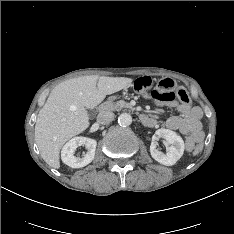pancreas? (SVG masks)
Wrapping results in <instances>:
<instances>
[{
  "mask_svg": "<svg viewBox=\"0 0 234 234\" xmlns=\"http://www.w3.org/2000/svg\"><path fill=\"white\" fill-rule=\"evenodd\" d=\"M102 108L110 111H119L122 108L132 109V106L124 100H119L117 102L107 101L103 104Z\"/></svg>",
  "mask_w": 234,
  "mask_h": 234,
  "instance_id": "cf45deb5",
  "label": "pancreas"
}]
</instances>
